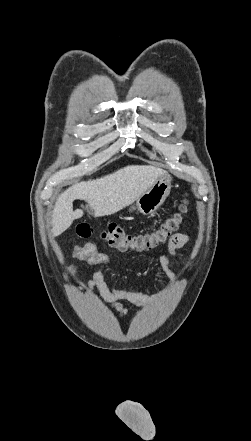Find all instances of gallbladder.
Masks as SVG:
<instances>
[{
  "label": "gallbladder",
  "instance_id": "obj_1",
  "mask_svg": "<svg viewBox=\"0 0 251 441\" xmlns=\"http://www.w3.org/2000/svg\"><path fill=\"white\" fill-rule=\"evenodd\" d=\"M84 210H85L87 213H91V212H92V210H91L88 206H85Z\"/></svg>",
  "mask_w": 251,
  "mask_h": 441
}]
</instances>
